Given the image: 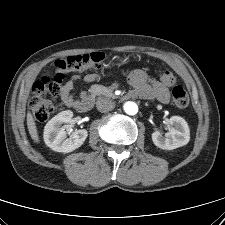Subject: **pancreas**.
<instances>
[{"label":"pancreas","mask_w":225,"mask_h":225,"mask_svg":"<svg viewBox=\"0 0 225 225\" xmlns=\"http://www.w3.org/2000/svg\"><path fill=\"white\" fill-rule=\"evenodd\" d=\"M89 92L92 95H108L110 96L112 94V91L108 89L105 86L102 85H92L91 88L89 89Z\"/></svg>","instance_id":"cf45deb5"}]
</instances>
